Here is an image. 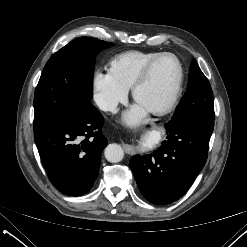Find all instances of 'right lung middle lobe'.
Listing matches in <instances>:
<instances>
[{"label":"right lung middle lobe","instance_id":"1","mask_svg":"<svg viewBox=\"0 0 247 247\" xmlns=\"http://www.w3.org/2000/svg\"><path fill=\"white\" fill-rule=\"evenodd\" d=\"M112 43L81 37L61 48L46 63L34 96V132L40 131L93 97L97 54Z\"/></svg>","mask_w":247,"mask_h":247}]
</instances>
